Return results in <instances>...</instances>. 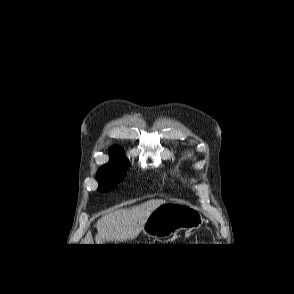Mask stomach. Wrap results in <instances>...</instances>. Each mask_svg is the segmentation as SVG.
Wrapping results in <instances>:
<instances>
[{
	"mask_svg": "<svg viewBox=\"0 0 294 294\" xmlns=\"http://www.w3.org/2000/svg\"><path fill=\"white\" fill-rule=\"evenodd\" d=\"M204 221L202 215L193 207L166 202L149 215L142 232L155 239L169 238L180 230L199 229Z\"/></svg>",
	"mask_w": 294,
	"mask_h": 294,
	"instance_id": "1",
	"label": "stomach"
}]
</instances>
